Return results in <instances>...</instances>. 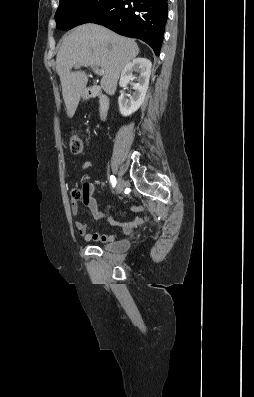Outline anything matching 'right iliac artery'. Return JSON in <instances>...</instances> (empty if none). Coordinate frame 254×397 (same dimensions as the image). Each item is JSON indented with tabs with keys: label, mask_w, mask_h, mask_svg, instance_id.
I'll return each instance as SVG.
<instances>
[{
	"label": "right iliac artery",
	"mask_w": 254,
	"mask_h": 397,
	"mask_svg": "<svg viewBox=\"0 0 254 397\" xmlns=\"http://www.w3.org/2000/svg\"><path fill=\"white\" fill-rule=\"evenodd\" d=\"M110 181H111L112 186L115 187V185H116V178H115L113 175L110 176Z\"/></svg>",
	"instance_id": "82829eb1"
}]
</instances>
